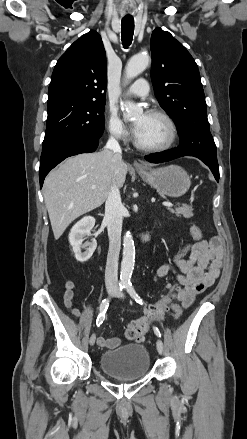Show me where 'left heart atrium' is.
<instances>
[{
  "instance_id": "1",
  "label": "left heart atrium",
  "mask_w": 247,
  "mask_h": 439,
  "mask_svg": "<svg viewBox=\"0 0 247 439\" xmlns=\"http://www.w3.org/2000/svg\"><path fill=\"white\" fill-rule=\"evenodd\" d=\"M139 130H140V125L139 124H135V126H134V133L136 135L138 134Z\"/></svg>"
}]
</instances>
